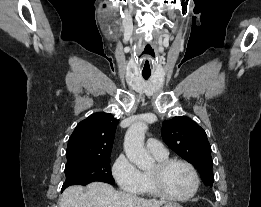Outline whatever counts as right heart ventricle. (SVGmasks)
Returning a JSON list of instances; mask_svg holds the SVG:
<instances>
[{
    "mask_svg": "<svg viewBox=\"0 0 261 207\" xmlns=\"http://www.w3.org/2000/svg\"><path fill=\"white\" fill-rule=\"evenodd\" d=\"M154 158L157 161H162L164 159H167V156H165V157L154 156ZM144 177H145V188H144L143 193H146V194L151 195V196L157 195L152 184H151L149 173H144Z\"/></svg>",
    "mask_w": 261,
    "mask_h": 207,
    "instance_id": "1",
    "label": "right heart ventricle"
}]
</instances>
